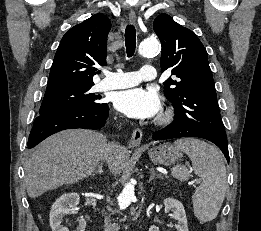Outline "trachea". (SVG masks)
I'll use <instances>...</instances> for the list:
<instances>
[{"instance_id":"trachea-1","label":"trachea","mask_w":261,"mask_h":231,"mask_svg":"<svg viewBox=\"0 0 261 231\" xmlns=\"http://www.w3.org/2000/svg\"><path fill=\"white\" fill-rule=\"evenodd\" d=\"M125 45L127 56L132 57L136 48V30L133 25H128L125 29Z\"/></svg>"}]
</instances>
